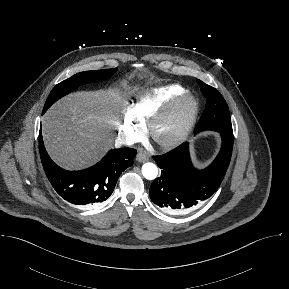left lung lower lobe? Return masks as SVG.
<instances>
[{"label": "left lung lower lobe", "instance_id": "1", "mask_svg": "<svg viewBox=\"0 0 289 289\" xmlns=\"http://www.w3.org/2000/svg\"><path fill=\"white\" fill-rule=\"evenodd\" d=\"M220 134V152L203 170L193 167L187 142L164 155L153 157L162 171L161 176L150 186V198L161 210L170 214H186L218 189L229 166L233 149V131H223Z\"/></svg>", "mask_w": 289, "mask_h": 289}]
</instances>
